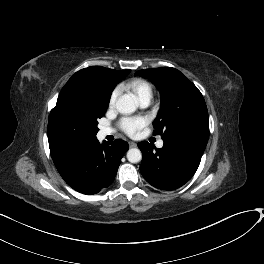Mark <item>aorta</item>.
Wrapping results in <instances>:
<instances>
[{
  "label": "aorta",
  "mask_w": 264,
  "mask_h": 264,
  "mask_svg": "<svg viewBox=\"0 0 264 264\" xmlns=\"http://www.w3.org/2000/svg\"><path fill=\"white\" fill-rule=\"evenodd\" d=\"M138 107L137 98L133 94H124L117 99L116 109L122 114H132ZM127 159L131 163H138L142 159L141 151L131 148L127 152Z\"/></svg>",
  "instance_id": "aorta-1"
}]
</instances>
